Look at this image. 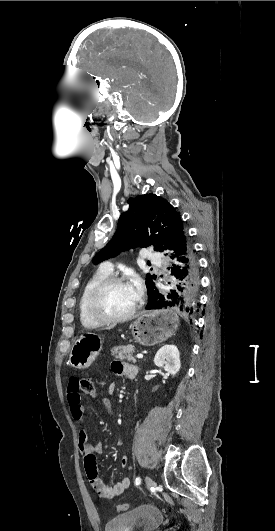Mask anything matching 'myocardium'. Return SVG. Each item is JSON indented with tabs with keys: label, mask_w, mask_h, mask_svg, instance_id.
<instances>
[{
	"label": "myocardium",
	"mask_w": 275,
	"mask_h": 531,
	"mask_svg": "<svg viewBox=\"0 0 275 531\" xmlns=\"http://www.w3.org/2000/svg\"><path fill=\"white\" fill-rule=\"evenodd\" d=\"M126 281L125 276L109 275L101 280L90 292L86 300V312L88 316L101 324H115L129 320L136 313L141 301V294L138 293L137 299L130 311L122 316L113 317L102 313L98 308V301L104 291L111 285Z\"/></svg>",
	"instance_id": "f54148a6"
}]
</instances>
